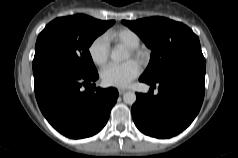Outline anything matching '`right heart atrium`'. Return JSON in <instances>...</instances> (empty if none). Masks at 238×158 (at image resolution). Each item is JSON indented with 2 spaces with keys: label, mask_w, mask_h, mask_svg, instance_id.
I'll return each mask as SVG.
<instances>
[{
  "label": "right heart atrium",
  "mask_w": 238,
  "mask_h": 158,
  "mask_svg": "<svg viewBox=\"0 0 238 158\" xmlns=\"http://www.w3.org/2000/svg\"><path fill=\"white\" fill-rule=\"evenodd\" d=\"M88 54L95 65L103 66L109 58L108 39L103 35L96 37L88 46Z\"/></svg>",
  "instance_id": "right-heart-atrium-1"
}]
</instances>
